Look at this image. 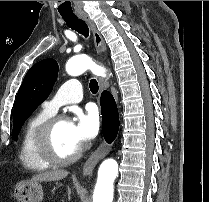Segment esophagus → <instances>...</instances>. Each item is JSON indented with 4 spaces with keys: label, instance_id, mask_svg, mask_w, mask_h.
<instances>
[{
    "label": "esophagus",
    "instance_id": "obj_1",
    "mask_svg": "<svg viewBox=\"0 0 209 202\" xmlns=\"http://www.w3.org/2000/svg\"><path fill=\"white\" fill-rule=\"evenodd\" d=\"M77 16L80 19L84 20L90 27L92 34H93L94 45H95L96 51L99 57L101 58V60L104 62L107 56L106 45L104 43V40L101 34L97 30L94 22L89 18V16L85 12H80L77 14ZM99 87L101 90L107 88V82L103 78H99ZM111 148H112V145L107 144L106 141L103 140L101 144L97 147V149L88 158L86 163L84 164L83 170H82L83 175L84 176L91 175L97 163L110 152Z\"/></svg>",
    "mask_w": 209,
    "mask_h": 202
}]
</instances>
